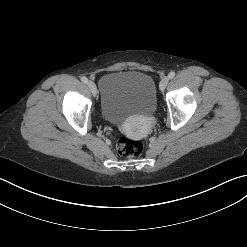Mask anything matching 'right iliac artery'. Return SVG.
I'll return each mask as SVG.
<instances>
[{
  "label": "right iliac artery",
  "instance_id": "1",
  "mask_svg": "<svg viewBox=\"0 0 247 247\" xmlns=\"http://www.w3.org/2000/svg\"><path fill=\"white\" fill-rule=\"evenodd\" d=\"M81 81L84 82V83H88V79L85 76L81 77Z\"/></svg>",
  "mask_w": 247,
  "mask_h": 247
}]
</instances>
